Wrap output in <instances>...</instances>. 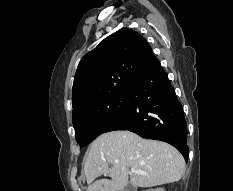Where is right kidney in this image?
Masks as SVG:
<instances>
[{"label": "right kidney", "instance_id": "ca27d5eb", "mask_svg": "<svg viewBox=\"0 0 233 191\" xmlns=\"http://www.w3.org/2000/svg\"><path fill=\"white\" fill-rule=\"evenodd\" d=\"M148 191H164L163 189L148 190Z\"/></svg>", "mask_w": 233, "mask_h": 191}]
</instances>
